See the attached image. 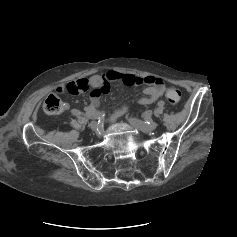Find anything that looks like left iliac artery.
Segmentation results:
<instances>
[{
	"instance_id": "44dca946",
	"label": "left iliac artery",
	"mask_w": 237,
	"mask_h": 237,
	"mask_svg": "<svg viewBox=\"0 0 237 237\" xmlns=\"http://www.w3.org/2000/svg\"><path fill=\"white\" fill-rule=\"evenodd\" d=\"M164 105H165V102H164V101L161 100V101L158 102V106H159V107H163Z\"/></svg>"
}]
</instances>
